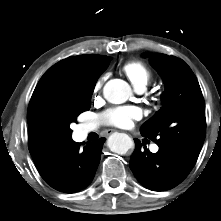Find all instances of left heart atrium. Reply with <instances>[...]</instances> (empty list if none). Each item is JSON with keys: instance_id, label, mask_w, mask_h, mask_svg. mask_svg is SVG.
Returning <instances> with one entry per match:
<instances>
[{"instance_id": "1", "label": "left heart atrium", "mask_w": 221, "mask_h": 221, "mask_svg": "<svg viewBox=\"0 0 221 221\" xmlns=\"http://www.w3.org/2000/svg\"><path fill=\"white\" fill-rule=\"evenodd\" d=\"M141 117V111L135 106H121L109 109L104 114L105 121L119 128H128L134 120Z\"/></svg>"}]
</instances>
